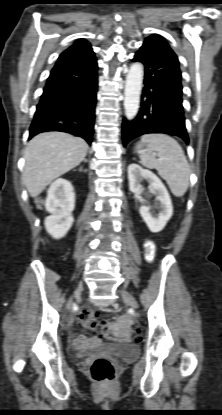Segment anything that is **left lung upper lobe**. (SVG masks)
I'll list each match as a JSON object with an SVG mask.
<instances>
[{
    "instance_id": "1",
    "label": "left lung upper lobe",
    "mask_w": 222,
    "mask_h": 415,
    "mask_svg": "<svg viewBox=\"0 0 222 415\" xmlns=\"http://www.w3.org/2000/svg\"><path fill=\"white\" fill-rule=\"evenodd\" d=\"M152 36H157V37H161V36H159V35H157V34H154V35H152Z\"/></svg>"
}]
</instances>
